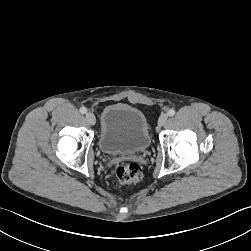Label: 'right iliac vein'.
I'll list each match as a JSON object with an SVG mask.
<instances>
[{
    "mask_svg": "<svg viewBox=\"0 0 251 251\" xmlns=\"http://www.w3.org/2000/svg\"><path fill=\"white\" fill-rule=\"evenodd\" d=\"M85 116L89 124L94 125L96 123L95 115L92 112H87Z\"/></svg>",
    "mask_w": 251,
    "mask_h": 251,
    "instance_id": "obj_1",
    "label": "right iliac vein"
}]
</instances>
